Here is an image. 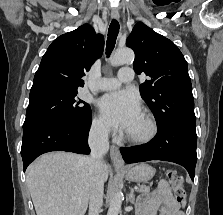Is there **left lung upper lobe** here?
<instances>
[{
    "label": "left lung upper lobe",
    "instance_id": "5c2ea615",
    "mask_svg": "<svg viewBox=\"0 0 223 215\" xmlns=\"http://www.w3.org/2000/svg\"><path fill=\"white\" fill-rule=\"evenodd\" d=\"M126 45L135 52V72L151 78L140 85V94L154 114L157 127L196 125L188 66L178 47L142 22L134 26Z\"/></svg>",
    "mask_w": 223,
    "mask_h": 215
}]
</instances>
